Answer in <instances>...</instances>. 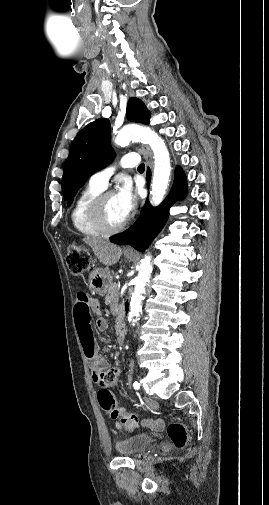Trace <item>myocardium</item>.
Segmentation results:
<instances>
[{
	"mask_svg": "<svg viewBox=\"0 0 269 505\" xmlns=\"http://www.w3.org/2000/svg\"><path fill=\"white\" fill-rule=\"evenodd\" d=\"M112 194H113L112 191L101 192L99 195H97L95 197V199L92 201L90 208H89V214H90L92 222L104 234L118 233L125 228V226L127 225V222H128L125 219L122 223L115 225V226L108 223L106 216H105L104 205H105V201H106L107 197Z\"/></svg>",
	"mask_w": 269,
	"mask_h": 505,
	"instance_id": "f54148a6",
	"label": "myocardium"
}]
</instances>
